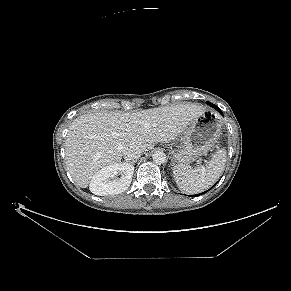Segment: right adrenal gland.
Returning <instances> with one entry per match:
<instances>
[{"instance_id": "obj_1", "label": "right adrenal gland", "mask_w": 291, "mask_h": 291, "mask_svg": "<svg viewBox=\"0 0 291 291\" xmlns=\"http://www.w3.org/2000/svg\"><path fill=\"white\" fill-rule=\"evenodd\" d=\"M135 163H136V160L132 162V164H135Z\"/></svg>"}]
</instances>
